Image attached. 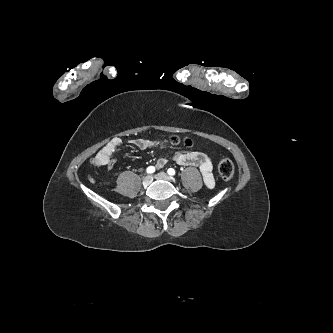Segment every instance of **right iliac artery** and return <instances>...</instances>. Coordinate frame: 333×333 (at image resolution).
<instances>
[{"instance_id": "right-iliac-artery-1", "label": "right iliac artery", "mask_w": 333, "mask_h": 333, "mask_svg": "<svg viewBox=\"0 0 333 333\" xmlns=\"http://www.w3.org/2000/svg\"><path fill=\"white\" fill-rule=\"evenodd\" d=\"M146 171L148 174H152L155 171V168L153 166H149Z\"/></svg>"}]
</instances>
